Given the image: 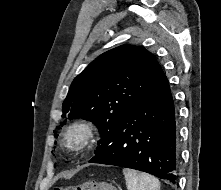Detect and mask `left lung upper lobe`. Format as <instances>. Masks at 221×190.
Listing matches in <instances>:
<instances>
[{"label": "left lung upper lobe", "instance_id": "obj_1", "mask_svg": "<svg viewBox=\"0 0 221 190\" xmlns=\"http://www.w3.org/2000/svg\"><path fill=\"white\" fill-rule=\"evenodd\" d=\"M162 75L153 54L143 47L122 45L109 50L73 80L62 117L83 118L98 127L101 140L96 154L104 148L110 131L138 106Z\"/></svg>", "mask_w": 221, "mask_h": 190}]
</instances>
